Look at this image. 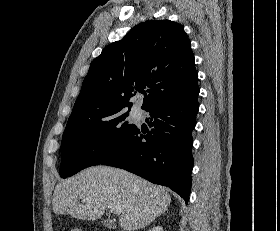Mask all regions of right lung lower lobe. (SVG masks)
<instances>
[{
  "label": "right lung lower lobe",
  "instance_id": "98d812e1",
  "mask_svg": "<svg viewBox=\"0 0 280 231\" xmlns=\"http://www.w3.org/2000/svg\"><path fill=\"white\" fill-rule=\"evenodd\" d=\"M199 87L167 97L146 109L147 134L135 128L101 163L171 188L188 202L193 157L192 131L199 109ZM144 133V134H142Z\"/></svg>",
  "mask_w": 280,
  "mask_h": 231
}]
</instances>
